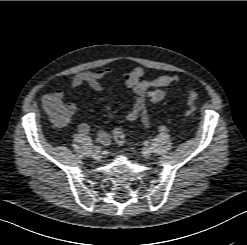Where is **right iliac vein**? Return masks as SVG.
Listing matches in <instances>:
<instances>
[{
    "instance_id": "1",
    "label": "right iliac vein",
    "mask_w": 247,
    "mask_h": 245,
    "mask_svg": "<svg viewBox=\"0 0 247 245\" xmlns=\"http://www.w3.org/2000/svg\"><path fill=\"white\" fill-rule=\"evenodd\" d=\"M102 157L101 152L100 151H94L92 154V158L95 160H99Z\"/></svg>"
}]
</instances>
